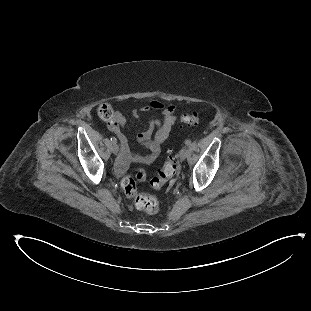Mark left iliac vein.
I'll list each match as a JSON object with an SVG mask.
<instances>
[{"label":"left iliac vein","mask_w":311,"mask_h":311,"mask_svg":"<svg viewBox=\"0 0 311 311\" xmlns=\"http://www.w3.org/2000/svg\"><path fill=\"white\" fill-rule=\"evenodd\" d=\"M187 153H188V151H187L186 148H182V149L180 150L179 158H180L181 161H184V160L186 159Z\"/></svg>","instance_id":"4c4485c4"}]
</instances>
